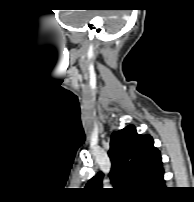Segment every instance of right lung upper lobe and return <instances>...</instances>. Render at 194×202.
I'll return each instance as SVG.
<instances>
[{
  "label": "right lung upper lobe",
  "mask_w": 194,
  "mask_h": 202,
  "mask_svg": "<svg viewBox=\"0 0 194 202\" xmlns=\"http://www.w3.org/2000/svg\"><path fill=\"white\" fill-rule=\"evenodd\" d=\"M108 155L112 163L109 178L117 189L150 195L165 187L160 151L150 135L138 134L133 125L112 134ZM103 176L99 172L87 186L102 189Z\"/></svg>",
  "instance_id": "cb5924a9"
}]
</instances>
